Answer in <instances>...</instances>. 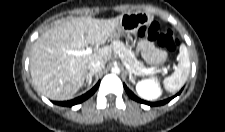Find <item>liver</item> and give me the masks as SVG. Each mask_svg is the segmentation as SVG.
<instances>
[{"instance_id": "liver-1", "label": "liver", "mask_w": 225, "mask_h": 132, "mask_svg": "<svg viewBox=\"0 0 225 132\" xmlns=\"http://www.w3.org/2000/svg\"><path fill=\"white\" fill-rule=\"evenodd\" d=\"M123 15L112 19L73 18L44 32L34 43L30 73L37 90L52 100H69L83 85L92 60L106 63L112 57L109 47L82 56L68 54L87 45L105 44Z\"/></svg>"}]
</instances>
